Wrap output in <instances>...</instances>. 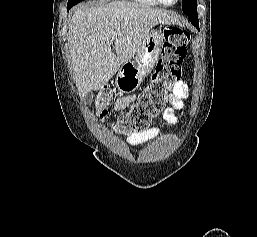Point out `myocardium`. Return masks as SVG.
<instances>
[{"mask_svg": "<svg viewBox=\"0 0 257 237\" xmlns=\"http://www.w3.org/2000/svg\"><path fill=\"white\" fill-rule=\"evenodd\" d=\"M157 1L159 4L167 7L174 6L179 2V0H175L173 3H166L164 0H157Z\"/></svg>", "mask_w": 257, "mask_h": 237, "instance_id": "obj_1", "label": "myocardium"}]
</instances>
